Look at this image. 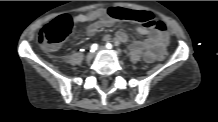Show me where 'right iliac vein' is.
Listing matches in <instances>:
<instances>
[{
    "mask_svg": "<svg viewBox=\"0 0 218 122\" xmlns=\"http://www.w3.org/2000/svg\"><path fill=\"white\" fill-rule=\"evenodd\" d=\"M92 59H93V53L90 52L86 56V63H90L92 61Z\"/></svg>",
    "mask_w": 218,
    "mask_h": 122,
    "instance_id": "1",
    "label": "right iliac vein"
}]
</instances>
